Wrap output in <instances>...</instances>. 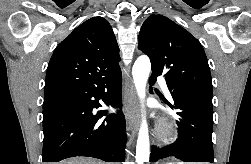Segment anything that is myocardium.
I'll list each match as a JSON object with an SVG mask.
<instances>
[{
  "mask_svg": "<svg viewBox=\"0 0 251 164\" xmlns=\"http://www.w3.org/2000/svg\"><path fill=\"white\" fill-rule=\"evenodd\" d=\"M175 136L174 127L171 122L162 120L157 129V137L160 141L168 142Z\"/></svg>",
  "mask_w": 251,
  "mask_h": 164,
  "instance_id": "f54148a6",
  "label": "myocardium"
}]
</instances>
